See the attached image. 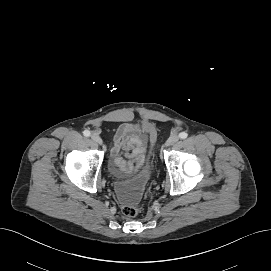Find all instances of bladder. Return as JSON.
<instances>
[{"mask_svg":"<svg viewBox=\"0 0 271 271\" xmlns=\"http://www.w3.org/2000/svg\"><path fill=\"white\" fill-rule=\"evenodd\" d=\"M152 176L151 167H145L136 176L127 181H115L113 190L118 201L134 205L138 203Z\"/></svg>","mask_w":271,"mask_h":271,"instance_id":"obj_1","label":"bladder"}]
</instances>
